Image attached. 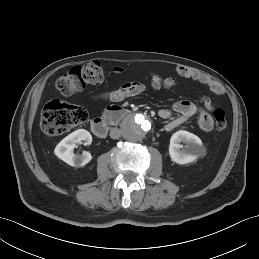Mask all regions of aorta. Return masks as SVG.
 I'll return each instance as SVG.
<instances>
[{
  "label": "aorta",
  "instance_id": "aorta-1",
  "mask_svg": "<svg viewBox=\"0 0 259 259\" xmlns=\"http://www.w3.org/2000/svg\"><path fill=\"white\" fill-rule=\"evenodd\" d=\"M150 129V121L141 114L129 117L123 124L124 135L130 141L143 139Z\"/></svg>",
  "mask_w": 259,
  "mask_h": 259
}]
</instances>
